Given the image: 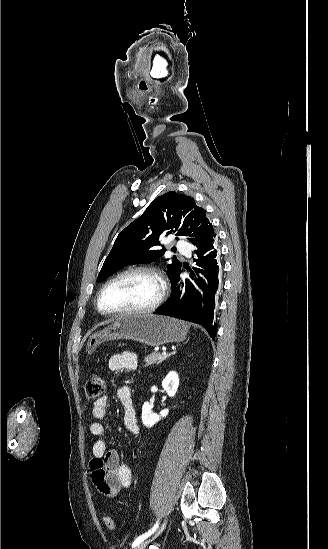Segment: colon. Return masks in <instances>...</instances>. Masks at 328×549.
<instances>
[{
    "label": "colon",
    "instance_id": "1",
    "mask_svg": "<svg viewBox=\"0 0 328 549\" xmlns=\"http://www.w3.org/2000/svg\"><path fill=\"white\" fill-rule=\"evenodd\" d=\"M105 390V382L98 374H93L85 383V397L88 401H96ZM104 524L109 530L115 529V520L111 516L104 517Z\"/></svg>",
    "mask_w": 328,
    "mask_h": 549
}]
</instances>
